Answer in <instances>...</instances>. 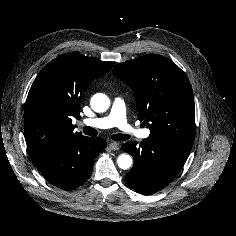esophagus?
Masks as SVG:
<instances>
[{"instance_id": "34e87169", "label": "esophagus", "mask_w": 236, "mask_h": 236, "mask_svg": "<svg viewBox=\"0 0 236 236\" xmlns=\"http://www.w3.org/2000/svg\"><path fill=\"white\" fill-rule=\"evenodd\" d=\"M109 147H110V149L111 150H119V148H120V146H119V144L117 143V142H111V143H109Z\"/></svg>"}]
</instances>
